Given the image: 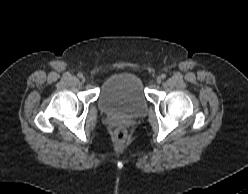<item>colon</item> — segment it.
I'll list each match as a JSON object with an SVG mask.
<instances>
[{
  "mask_svg": "<svg viewBox=\"0 0 248 194\" xmlns=\"http://www.w3.org/2000/svg\"><path fill=\"white\" fill-rule=\"evenodd\" d=\"M114 140L119 147L124 146V144L126 143L127 133L122 127L117 128V130L115 131Z\"/></svg>",
  "mask_w": 248,
  "mask_h": 194,
  "instance_id": "obj_1",
  "label": "colon"
}]
</instances>
